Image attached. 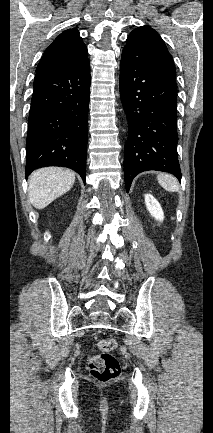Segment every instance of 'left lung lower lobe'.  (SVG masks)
<instances>
[{"instance_id":"1","label":"left lung lower lobe","mask_w":213,"mask_h":433,"mask_svg":"<svg viewBox=\"0 0 213 433\" xmlns=\"http://www.w3.org/2000/svg\"><path fill=\"white\" fill-rule=\"evenodd\" d=\"M120 96L129 123L124 147L126 191L133 178L146 170L169 172L181 180L175 77L146 65L131 52L123 50Z\"/></svg>"}]
</instances>
